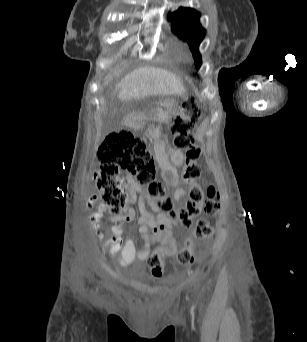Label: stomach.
Returning a JSON list of instances; mask_svg holds the SVG:
<instances>
[{
    "label": "stomach",
    "mask_w": 307,
    "mask_h": 342,
    "mask_svg": "<svg viewBox=\"0 0 307 342\" xmlns=\"http://www.w3.org/2000/svg\"><path fill=\"white\" fill-rule=\"evenodd\" d=\"M177 111V102L173 99H164L160 105L152 110L148 115L143 113H136L130 119L131 126L138 130L143 128L149 119L158 122H168Z\"/></svg>",
    "instance_id": "stomach-1"
}]
</instances>
